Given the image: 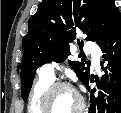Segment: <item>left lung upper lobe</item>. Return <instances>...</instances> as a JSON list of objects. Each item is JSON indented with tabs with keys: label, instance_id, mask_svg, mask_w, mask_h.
<instances>
[{
	"label": "left lung upper lobe",
	"instance_id": "obj_1",
	"mask_svg": "<svg viewBox=\"0 0 121 113\" xmlns=\"http://www.w3.org/2000/svg\"><path fill=\"white\" fill-rule=\"evenodd\" d=\"M119 17L114 0H43L29 19L28 33L22 41L23 99L28 98L38 67L51 61L61 63L70 55L69 43L77 30L99 45L110 35ZM68 62L85 85L90 79V62H86L87 67L84 60Z\"/></svg>",
	"mask_w": 121,
	"mask_h": 113
}]
</instances>
